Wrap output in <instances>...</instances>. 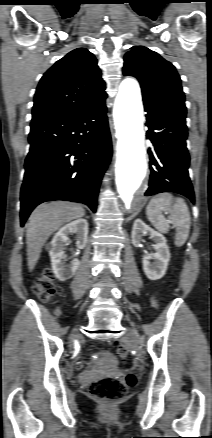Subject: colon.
Segmentation results:
<instances>
[{"mask_svg":"<svg viewBox=\"0 0 212 438\" xmlns=\"http://www.w3.org/2000/svg\"><path fill=\"white\" fill-rule=\"evenodd\" d=\"M57 290V284L54 274L51 269H45L37 278L33 285L35 295L42 301H48ZM112 348L116 351L118 357L127 360L128 350L119 341L111 343ZM80 366L83 364L80 363ZM137 383V377L133 373H128L122 379L112 376H106L96 380L90 384L89 392L92 397L109 405L122 399L128 388L133 387Z\"/></svg>","mask_w":212,"mask_h":438,"instance_id":"colon-1","label":"colon"}]
</instances>
